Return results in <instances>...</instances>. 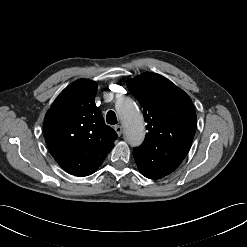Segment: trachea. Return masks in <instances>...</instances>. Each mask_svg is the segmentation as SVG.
<instances>
[{
    "instance_id": "trachea-1",
    "label": "trachea",
    "mask_w": 247,
    "mask_h": 247,
    "mask_svg": "<svg viewBox=\"0 0 247 247\" xmlns=\"http://www.w3.org/2000/svg\"><path fill=\"white\" fill-rule=\"evenodd\" d=\"M106 121L108 124L115 125L118 123L117 117L114 111H108L106 115Z\"/></svg>"
}]
</instances>
